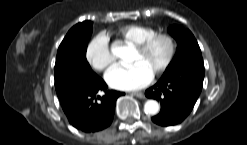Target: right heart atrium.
<instances>
[{
  "mask_svg": "<svg viewBox=\"0 0 247 145\" xmlns=\"http://www.w3.org/2000/svg\"><path fill=\"white\" fill-rule=\"evenodd\" d=\"M86 59L98 71H104L113 64L114 57L108 38L104 34L96 35L89 42L86 48Z\"/></svg>",
  "mask_w": 247,
  "mask_h": 145,
  "instance_id": "d8ad5b80",
  "label": "right heart atrium"
}]
</instances>
